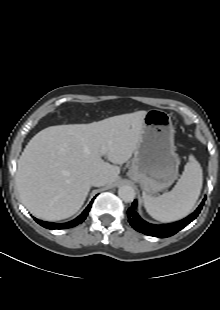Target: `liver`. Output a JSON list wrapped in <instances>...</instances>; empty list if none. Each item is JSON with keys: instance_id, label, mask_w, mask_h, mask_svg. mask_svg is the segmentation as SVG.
I'll return each instance as SVG.
<instances>
[{"instance_id": "6515ba94", "label": "liver", "mask_w": 220, "mask_h": 310, "mask_svg": "<svg viewBox=\"0 0 220 310\" xmlns=\"http://www.w3.org/2000/svg\"><path fill=\"white\" fill-rule=\"evenodd\" d=\"M146 111L89 124L50 126L37 133L18 160L16 186L32 215L57 221L84 204L91 179L102 174L112 184L134 153ZM102 156L110 161L105 162Z\"/></svg>"}]
</instances>
